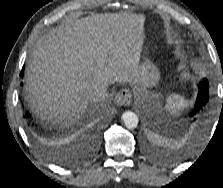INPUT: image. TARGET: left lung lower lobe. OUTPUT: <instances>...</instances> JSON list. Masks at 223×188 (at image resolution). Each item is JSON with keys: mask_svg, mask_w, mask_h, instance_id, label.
I'll return each mask as SVG.
<instances>
[{"mask_svg": "<svg viewBox=\"0 0 223 188\" xmlns=\"http://www.w3.org/2000/svg\"><path fill=\"white\" fill-rule=\"evenodd\" d=\"M208 92L209 89L207 90L199 87V92L195 104V112H199L207 104L209 100Z\"/></svg>", "mask_w": 223, "mask_h": 188, "instance_id": "1", "label": "left lung lower lobe"}]
</instances>
